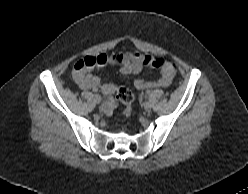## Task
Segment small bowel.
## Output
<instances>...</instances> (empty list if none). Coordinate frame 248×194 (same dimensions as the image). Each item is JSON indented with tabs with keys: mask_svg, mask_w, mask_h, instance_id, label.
Instances as JSON below:
<instances>
[{
	"mask_svg": "<svg viewBox=\"0 0 248 194\" xmlns=\"http://www.w3.org/2000/svg\"><path fill=\"white\" fill-rule=\"evenodd\" d=\"M148 56L137 52L117 51L111 55L100 54L94 57H86L82 61L94 60V67L79 69L77 64L73 70V78L77 85L84 90L102 91L105 95L114 93L116 86L112 83H104L99 77L91 74V70L95 67L102 68L109 64H118L119 72L124 75L138 74L144 70L146 66H152L145 61ZM154 67V66H153ZM160 76L156 80L138 79L134 82V87L138 90L164 88L171 84L174 72L167 67L158 68ZM112 103H106L103 107L105 113H109L112 109Z\"/></svg>",
	"mask_w": 248,
	"mask_h": 194,
	"instance_id": "1",
	"label": "small bowel"
}]
</instances>
